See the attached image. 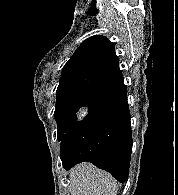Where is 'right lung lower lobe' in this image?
<instances>
[{"instance_id": "1", "label": "right lung lower lobe", "mask_w": 178, "mask_h": 195, "mask_svg": "<svg viewBox=\"0 0 178 195\" xmlns=\"http://www.w3.org/2000/svg\"><path fill=\"white\" fill-rule=\"evenodd\" d=\"M66 170L88 161L119 182L128 179L132 131L124 82L96 96L85 117L62 140Z\"/></svg>"}]
</instances>
